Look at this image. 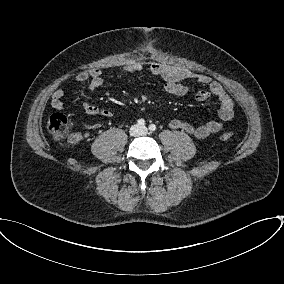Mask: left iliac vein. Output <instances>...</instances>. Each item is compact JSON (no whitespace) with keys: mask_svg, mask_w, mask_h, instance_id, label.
Masks as SVG:
<instances>
[{"mask_svg":"<svg viewBox=\"0 0 284 284\" xmlns=\"http://www.w3.org/2000/svg\"><path fill=\"white\" fill-rule=\"evenodd\" d=\"M141 133L146 134L147 133V128L146 127H141Z\"/></svg>","mask_w":284,"mask_h":284,"instance_id":"left-iliac-vein-1","label":"left iliac vein"}]
</instances>
